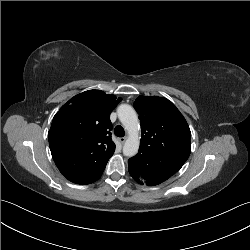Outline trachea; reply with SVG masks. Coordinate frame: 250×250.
Segmentation results:
<instances>
[{
	"instance_id": "3493384b",
	"label": "trachea",
	"mask_w": 250,
	"mask_h": 250,
	"mask_svg": "<svg viewBox=\"0 0 250 250\" xmlns=\"http://www.w3.org/2000/svg\"><path fill=\"white\" fill-rule=\"evenodd\" d=\"M114 133L117 137H123L125 135V131L122 126L117 125L114 129Z\"/></svg>"
}]
</instances>
